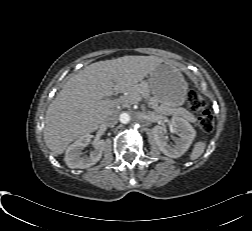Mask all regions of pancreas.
I'll use <instances>...</instances> for the list:
<instances>
[{
    "label": "pancreas",
    "mask_w": 252,
    "mask_h": 231,
    "mask_svg": "<svg viewBox=\"0 0 252 231\" xmlns=\"http://www.w3.org/2000/svg\"><path fill=\"white\" fill-rule=\"evenodd\" d=\"M138 92L141 93L146 99H148L149 105L152 108H154L157 113H162L165 115H172L174 117H180V118L185 119V120L192 122V123L196 122V118L194 117V115L191 114L190 112H188L186 109H184V108H177V109L163 108L161 106H158V104L155 102V100L153 98L149 97V94L147 93V91L145 89L139 88ZM134 101H135L134 94H130L126 97H123V99H121L120 102L122 103L123 106L127 107L131 103H133Z\"/></svg>",
    "instance_id": "pancreas-1"
}]
</instances>
